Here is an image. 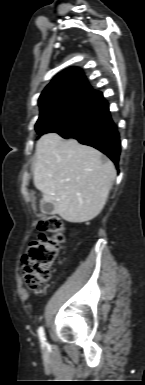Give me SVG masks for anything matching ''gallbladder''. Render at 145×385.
<instances>
[{"mask_svg":"<svg viewBox=\"0 0 145 385\" xmlns=\"http://www.w3.org/2000/svg\"><path fill=\"white\" fill-rule=\"evenodd\" d=\"M40 209H41L42 213L47 214V215H51V214L55 213L54 205L52 203L42 202Z\"/></svg>","mask_w":145,"mask_h":385,"instance_id":"1","label":"gallbladder"}]
</instances>
